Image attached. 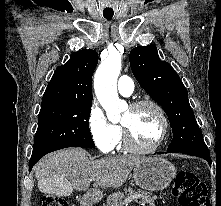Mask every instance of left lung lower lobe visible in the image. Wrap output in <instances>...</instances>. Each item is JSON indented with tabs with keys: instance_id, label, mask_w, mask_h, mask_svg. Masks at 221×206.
<instances>
[{
	"instance_id": "obj_1",
	"label": "left lung lower lobe",
	"mask_w": 221,
	"mask_h": 206,
	"mask_svg": "<svg viewBox=\"0 0 221 206\" xmlns=\"http://www.w3.org/2000/svg\"><path fill=\"white\" fill-rule=\"evenodd\" d=\"M171 152H175V153H184V154H188V155H193V156H197V157H201L205 160L208 161L209 165H211V158H210V153L209 152H195V151H168L165 153H171ZM164 152H157V154H163Z\"/></svg>"
}]
</instances>
